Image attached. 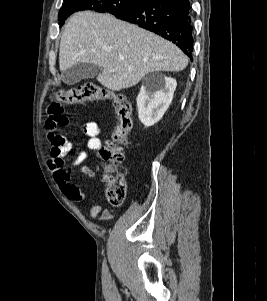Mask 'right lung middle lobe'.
<instances>
[{"label":"right lung middle lobe","mask_w":267,"mask_h":301,"mask_svg":"<svg viewBox=\"0 0 267 301\" xmlns=\"http://www.w3.org/2000/svg\"><path fill=\"white\" fill-rule=\"evenodd\" d=\"M142 0H64L59 11V22L62 25L72 13L81 10L108 12L113 15L132 9Z\"/></svg>","instance_id":"1"}]
</instances>
